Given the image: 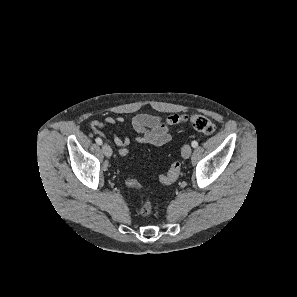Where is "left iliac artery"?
Masks as SVG:
<instances>
[{
  "label": "left iliac artery",
  "instance_id": "obj_1",
  "mask_svg": "<svg viewBox=\"0 0 297 297\" xmlns=\"http://www.w3.org/2000/svg\"><path fill=\"white\" fill-rule=\"evenodd\" d=\"M191 146H192L193 148H196V147L198 146V142L195 141V140L192 141Z\"/></svg>",
  "mask_w": 297,
  "mask_h": 297
}]
</instances>
